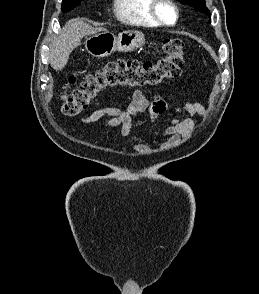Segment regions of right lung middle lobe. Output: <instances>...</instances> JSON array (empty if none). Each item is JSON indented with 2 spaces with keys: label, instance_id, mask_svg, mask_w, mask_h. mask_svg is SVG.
<instances>
[{
  "label": "right lung middle lobe",
  "instance_id": "dd1d6c3e",
  "mask_svg": "<svg viewBox=\"0 0 259 294\" xmlns=\"http://www.w3.org/2000/svg\"><path fill=\"white\" fill-rule=\"evenodd\" d=\"M82 0H63L62 1V12H69L71 9L79 5Z\"/></svg>",
  "mask_w": 259,
  "mask_h": 294
}]
</instances>
